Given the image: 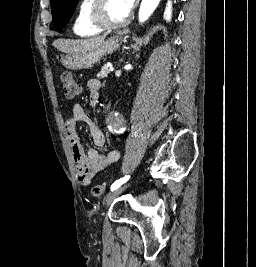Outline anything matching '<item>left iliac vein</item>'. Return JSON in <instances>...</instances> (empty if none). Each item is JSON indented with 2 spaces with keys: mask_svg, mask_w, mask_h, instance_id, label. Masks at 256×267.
<instances>
[{
  "mask_svg": "<svg viewBox=\"0 0 256 267\" xmlns=\"http://www.w3.org/2000/svg\"><path fill=\"white\" fill-rule=\"evenodd\" d=\"M126 186H120L119 188L115 189L114 191L110 192L105 198H104V205L107 206L110 204L117 196H119L122 192L126 190Z\"/></svg>",
  "mask_w": 256,
  "mask_h": 267,
  "instance_id": "obj_1",
  "label": "left iliac vein"
}]
</instances>
